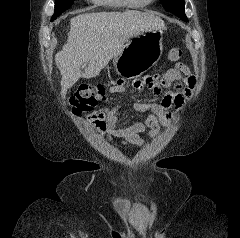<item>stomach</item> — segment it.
Returning <instances> with one entry per match:
<instances>
[{
    "instance_id": "obj_1",
    "label": "stomach",
    "mask_w": 240,
    "mask_h": 238,
    "mask_svg": "<svg viewBox=\"0 0 240 238\" xmlns=\"http://www.w3.org/2000/svg\"><path fill=\"white\" fill-rule=\"evenodd\" d=\"M163 52V30L145 31L133 37L113 59L117 73L136 78L154 66Z\"/></svg>"
}]
</instances>
